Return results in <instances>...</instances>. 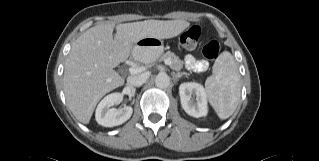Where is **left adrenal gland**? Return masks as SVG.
<instances>
[{"label": "left adrenal gland", "instance_id": "1", "mask_svg": "<svg viewBox=\"0 0 319 161\" xmlns=\"http://www.w3.org/2000/svg\"><path fill=\"white\" fill-rule=\"evenodd\" d=\"M183 75H189L188 73H186V72H178V73H173V77L175 78V79H178V78H181Z\"/></svg>", "mask_w": 319, "mask_h": 161}]
</instances>
